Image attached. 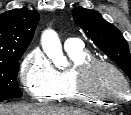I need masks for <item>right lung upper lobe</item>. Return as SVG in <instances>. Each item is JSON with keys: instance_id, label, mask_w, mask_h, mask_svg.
I'll list each match as a JSON object with an SVG mask.
<instances>
[{"instance_id": "1", "label": "right lung upper lobe", "mask_w": 131, "mask_h": 115, "mask_svg": "<svg viewBox=\"0 0 131 115\" xmlns=\"http://www.w3.org/2000/svg\"><path fill=\"white\" fill-rule=\"evenodd\" d=\"M40 17L37 11L13 9L0 14V60L26 50Z\"/></svg>"}]
</instances>
